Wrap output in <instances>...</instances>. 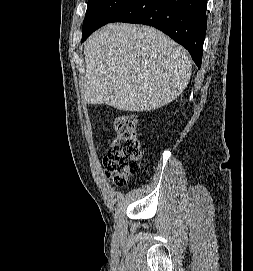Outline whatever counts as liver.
<instances>
[{
    "label": "liver",
    "instance_id": "6515ba94",
    "mask_svg": "<svg viewBox=\"0 0 253 271\" xmlns=\"http://www.w3.org/2000/svg\"><path fill=\"white\" fill-rule=\"evenodd\" d=\"M84 55V101L122 111L165 106L191 77L188 52L149 26L107 24L86 41Z\"/></svg>",
    "mask_w": 253,
    "mask_h": 271
}]
</instances>
